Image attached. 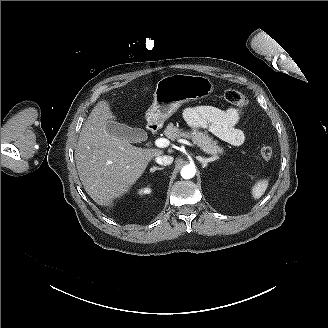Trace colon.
I'll list each match as a JSON object with an SVG mask.
<instances>
[{
	"mask_svg": "<svg viewBox=\"0 0 328 328\" xmlns=\"http://www.w3.org/2000/svg\"><path fill=\"white\" fill-rule=\"evenodd\" d=\"M224 99L229 104H232L238 108H244L248 104V100L241 92L237 90H227L224 93ZM260 156L263 160L268 161L273 156V149L269 145H264L260 149Z\"/></svg>",
	"mask_w": 328,
	"mask_h": 328,
	"instance_id": "colon-1",
	"label": "colon"
}]
</instances>
